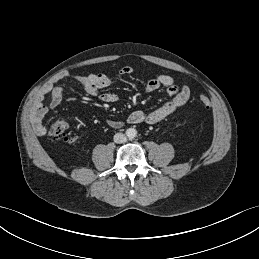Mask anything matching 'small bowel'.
Returning <instances> with one entry per match:
<instances>
[{
	"instance_id": "obj_1",
	"label": "small bowel",
	"mask_w": 259,
	"mask_h": 259,
	"mask_svg": "<svg viewBox=\"0 0 259 259\" xmlns=\"http://www.w3.org/2000/svg\"><path fill=\"white\" fill-rule=\"evenodd\" d=\"M133 72L130 66L122 68L121 73L123 75H129ZM149 72V70H148ZM61 78L71 79L81 85L87 94L93 97H98L100 100L107 103H115L118 101L119 96L113 92H101L103 88H106L114 82L111 77L105 74H87V75H73L69 73L62 74ZM165 87L170 99L163 105L153 110L149 114H145L142 111L132 112L127 121L132 124H139L146 122L149 124H155L177 109L186 104L190 97V90L187 86H179L175 83L174 79L167 74H158L154 78L150 79L146 84V90L148 92H154ZM50 104L49 107L43 103L44 92H40L37 95V100L30 114V122L33 132L38 136H43L47 133V128L43 124V119L48 113L49 108H57L64 96V87L56 85L50 90ZM123 124L119 120H108V125L113 128L121 127Z\"/></svg>"
}]
</instances>
